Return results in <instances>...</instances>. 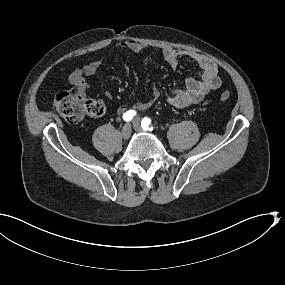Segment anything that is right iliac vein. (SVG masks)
<instances>
[{"mask_svg":"<svg viewBox=\"0 0 285 285\" xmlns=\"http://www.w3.org/2000/svg\"><path fill=\"white\" fill-rule=\"evenodd\" d=\"M131 126L129 124L125 125L121 130V136L123 139L128 140L131 136Z\"/></svg>","mask_w":285,"mask_h":285,"instance_id":"1","label":"right iliac vein"}]
</instances>
